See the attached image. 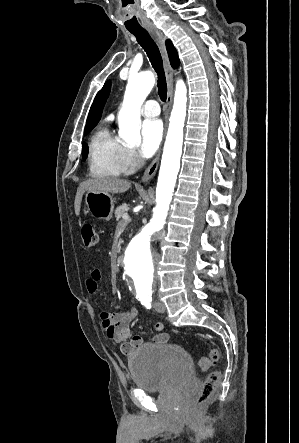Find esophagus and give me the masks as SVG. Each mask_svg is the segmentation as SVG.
Here are the masks:
<instances>
[{
	"label": "esophagus",
	"instance_id": "esophagus-1",
	"mask_svg": "<svg viewBox=\"0 0 299 443\" xmlns=\"http://www.w3.org/2000/svg\"><path fill=\"white\" fill-rule=\"evenodd\" d=\"M148 31L156 37V39L159 43V46H160L162 57H163V63H164V68H165V73H166V78H167V83H168V94H167L166 116H165L166 125H167L168 116H169V112H170V108H171L172 100H173V70H172V67L169 62V58H168L166 47H165V39H164L162 33L154 27L148 28ZM160 155H161V150H159L155 159L152 161V163L149 165V167L145 170V172L141 178V182H143V183L148 182L156 174V171L159 166Z\"/></svg>",
	"mask_w": 299,
	"mask_h": 443
}]
</instances>
